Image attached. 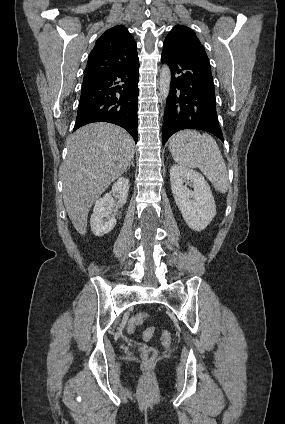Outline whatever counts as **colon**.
<instances>
[{"label":"colon","mask_w":285,"mask_h":424,"mask_svg":"<svg viewBox=\"0 0 285 424\" xmlns=\"http://www.w3.org/2000/svg\"><path fill=\"white\" fill-rule=\"evenodd\" d=\"M147 318H148L147 313H145V312L137 313L136 315H134L130 319L128 326H127V331L129 333L134 332L136 330V328L139 327ZM154 333H155L154 328H152V327L148 328L144 331L143 338L145 340H149V339L152 338ZM161 340L164 344H170L171 340H172L171 334L168 333V332H163ZM142 358L147 362L153 361L156 358V350L151 346H146L143 349Z\"/></svg>","instance_id":"obj_1"}]
</instances>
